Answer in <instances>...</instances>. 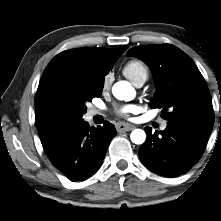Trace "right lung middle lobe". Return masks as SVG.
Returning <instances> with one entry per match:
<instances>
[{"instance_id": "right-lung-middle-lobe-1", "label": "right lung middle lobe", "mask_w": 221, "mask_h": 221, "mask_svg": "<svg viewBox=\"0 0 221 221\" xmlns=\"http://www.w3.org/2000/svg\"><path fill=\"white\" fill-rule=\"evenodd\" d=\"M103 84L104 79L95 80L86 68L57 75L39 85L35 109L49 130L66 134L83 121L86 102L100 97Z\"/></svg>"}]
</instances>
